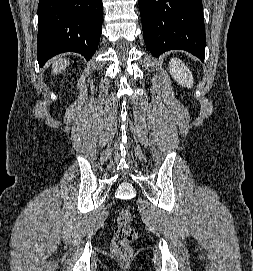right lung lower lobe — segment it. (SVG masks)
I'll list each match as a JSON object with an SVG mask.
<instances>
[{
    "label": "right lung lower lobe",
    "instance_id": "obj_1",
    "mask_svg": "<svg viewBox=\"0 0 253 271\" xmlns=\"http://www.w3.org/2000/svg\"><path fill=\"white\" fill-rule=\"evenodd\" d=\"M102 18V0H39L37 60L40 66L68 51L90 59L98 47Z\"/></svg>",
    "mask_w": 253,
    "mask_h": 271
}]
</instances>
